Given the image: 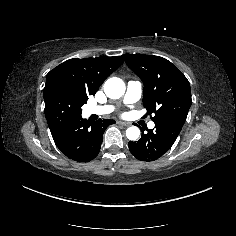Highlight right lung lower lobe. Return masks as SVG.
<instances>
[{
  "label": "right lung lower lobe",
  "mask_w": 236,
  "mask_h": 236,
  "mask_svg": "<svg viewBox=\"0 0 236 236\" xmlns=\"http://www.w3.org/2000/svg\"><path fill=\"white\" fill-rule=\"evenodd\" d=\"M114 120L99 119L90 122L80 116L72 118L51 131L58 149L77 162L94 159L103 141V132Z\"/></svg>",
  "instance_id": "1"
}]
</instances>
